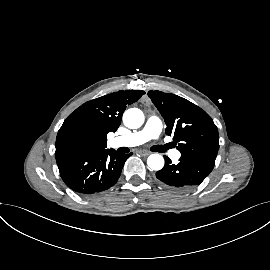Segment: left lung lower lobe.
<instances>
[{
  "mask_svg": "<svg viewBox=\"0 0 270 270\" xmlns=\"http://www.w3.org/2000/svg\"><path fill=\"white\" fill-rule=\"evenodd\" d=\"M165 166L156 172L158 180L175 191H187L198 185L213 170L195 160L181 157L177 165L164 156Z\"/></svg>",
  "mask_w": 270,
  "mask_h": 270,
  "instance_id": "0a47b994",
  "label": "left lung lower lobe"
}]
</instances>
